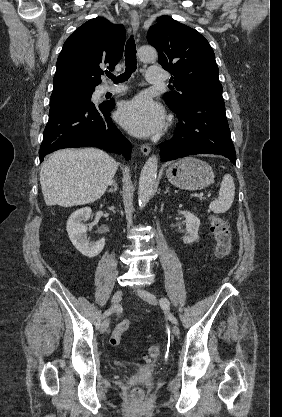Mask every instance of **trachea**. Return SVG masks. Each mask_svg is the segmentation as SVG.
<instances>
[{"label": "trachea", "instance_id": "1", "mask_svg": "<svg viewBox=\"0 0 282 417\" xmlns=\"http://www.w3.org/2000/svg\"><path fill=\"white\" fill-rule=\"evenodd\" d=\"M125 63H126V70L122 75L115 77L113 74L109 73L107 76L114 80V83L117 84L118 82H126L131 77V74L135 72L137 68V59H136V45L133 38V35L129 38L126 43L125 47Z\"/></svg>", "mask_w": 282, "mask_h": 417}]
</instances>
